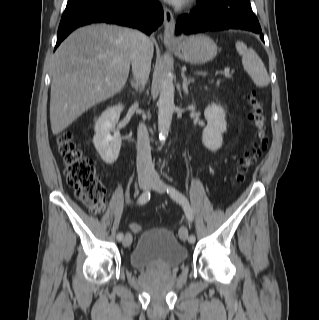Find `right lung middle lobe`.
<instances>
[{
	"label": "right lung middle lobe",
	"mask_w": 319,
	"mask_h": 320,
	"mask_svg": "<svg viewBox=\"0 0 319 320\" xmlns=\"http://www.w3.org/2000/svg\"><path fill=\"white\" fill-rule=\"evenodd\" d=\"M83 0H68V3H67V8L68 7H72V6H74V5H77V4H79L80 2H82Z\"/></svg>",
	"instance_id": "right-lung-middle-lobe-1"
}]
</instances>
